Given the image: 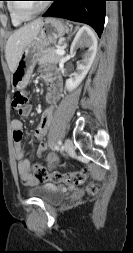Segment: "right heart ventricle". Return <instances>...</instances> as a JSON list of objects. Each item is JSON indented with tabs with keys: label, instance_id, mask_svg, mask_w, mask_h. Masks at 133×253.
I'll list each match as a JSON object with an SVG mask.
<instances>
[{
	"label": "right heart ventricle",
	"instance_id": "obj_1",
	"mask_svg": "<svg viewBox=\"0 0 133 253\" xmlns=\"http://www.w3.org/2000/svg\"><path fill=\"white\" fill-rule=\"evenodd\" d=\"M11 3L12 2L7 3V11L9 13V17H10L12 25L17 27V26H20L24 21L16 17V15L13 12Z\"/></svg>",
	"mask_w": 133,
	"mask_h": 253
}]
</instances>
